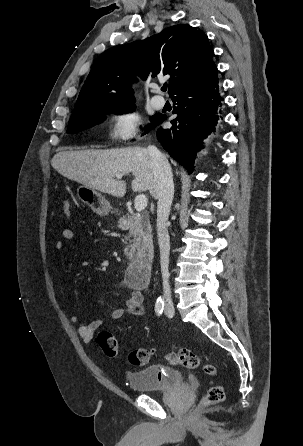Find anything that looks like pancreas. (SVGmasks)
<instances>
[{
  "label": "pancreas",
  "instance_id": "cf45deb5",
  "mask_svg": "<svg viewBox=\"0 0 303 446\" xmlns=\"http://www.w3.org/2000/svg\"><path fill=\"white\" fill-rule=\"evenodd\" d=\"M118 227L129 231V243L124 250L128 259L142 257L146 252L153 250L152 228L148 214L139 216L130 212L118 220Z\"/></svg>",
  "mask_w": 303,
  "mask_h": 446
}]
</instances>
